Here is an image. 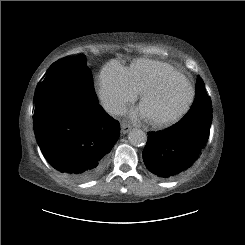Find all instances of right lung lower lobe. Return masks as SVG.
<instances>
[{"label": "right lung lower lobe", "mask_w": 245, "mask_h": 245, "mask_svg": "<svg viewBox=\"0 0 245 245\" xmlns=\"http://www.w3.org/2000/svg\"><path fill=\"white\" fill-rule=\"evenodd\" d=\"M40 149L53 168L72 180L98 177L120 136L119 122L97 104L60 110L35 124Z\"/></svg>", "instance_id": "1"}]
</instances>
